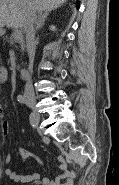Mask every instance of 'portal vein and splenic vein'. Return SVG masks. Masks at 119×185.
I'll list each match as a JSON object with an SVG mask.
<instances>
[{
  "instance_id": "obj_1",
  "label": "portal vein and splenic vein",
  "mask_w": 119,
  "mask_h": 185,
  "mask_svg": "<svg viewBox=\"0 0 119 185\" xmlns=\"http://www.w3.org/2000/svg\"><path fill=\"white\" fill-rule=\"evenodd\" d=\"M21 35H22V32L20 30H15L13 34L15 39H20Z\"/></svg>"
}]
</instances>
